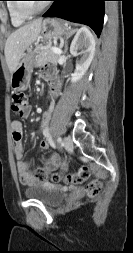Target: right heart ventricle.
Here are the masks:
<instances>
[{
    "label": "right heart ventricle",
    "instance_id": "e07e8e85",
    "mask_svg": "<svg viewBox=\"0 0 133 253\" xmlns=\"http://www.w3.org/2000/svg\"><path fill=\"white\" fill-rule=\"evenodd\" d=\"M7 11H8V14H9V17H10L11 24L14 27H19V26L23 25L26 22L27 18L21 17L16 12V10L14 8V2L12 0L7 3Z\"/></svg>",
    "mask_w": 133,
    "mask_h": 253
}]
</instances>
